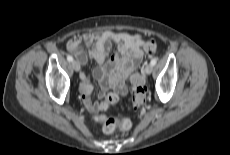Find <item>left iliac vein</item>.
I'll return each instance as SVG.
<instances>
[{"label": "left iliac vein", "mask_w": 230, "mask_h": 155, "mask_svg": "<svg viewBox=\"0 0 230 155\" xmlns=\"http://www.w3.org/2000/svg\"><path fill=\"white\" fill-rule=\"evenodd\" d=\"M146 74H151L153 71V65L152 64H147L144 69Z\"/></svg>", "instance_id": "4c4485c4"}]
</instances>
